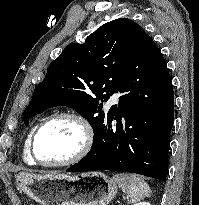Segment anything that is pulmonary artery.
<instances>
[{"instance_id":"obj_1","label":"pulmonary artery","mask_w":199,"mask_h":205,"mask_svg":"<svg viewBox=\"0 0 199 205\" xmlns=\"http://www.w3.org/2000/svg\"><path fill=\"white\" fill-rule=\"evenodd\" d=\"M118 103H119V95L113 94L108 101V106H111V105L118 106Z\"/></svg>"}]
</instances>
